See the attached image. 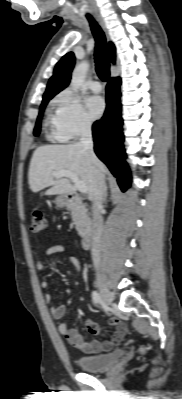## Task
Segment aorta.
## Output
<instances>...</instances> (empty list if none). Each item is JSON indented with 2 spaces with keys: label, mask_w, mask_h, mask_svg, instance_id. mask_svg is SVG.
I'll use <instances>...</instances> for the list:
<instances>
[{
  "label": "aorta",
  "mask_w": 182,
  "mask_h": 399,
  "mask_svg": "<svg viewBox=\"0 0 182 399\" xmlns=\"http://www.w3.org/2000/svg\"><path fill=\"white\" fill-rule=\"evenodd\" d=\"M89 65L87 61H81L73 70L72 72V77H71V82H70V87L74 92H78L80 87L82 86L87 71H88Z\"/></svg>",
  "instance_id": "aorta-1"
}]
</instances>
